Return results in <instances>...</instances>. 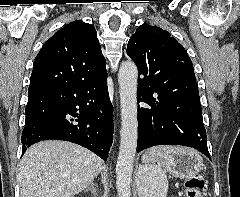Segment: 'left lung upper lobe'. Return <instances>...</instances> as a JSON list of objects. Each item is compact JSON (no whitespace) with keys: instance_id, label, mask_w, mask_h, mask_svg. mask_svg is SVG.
Instances as JSON below:
<instances>
[{"instance_id":"obj_1","label":"left lung upper lobe","mask_w":240,"mask_h":197,"mask_svg":"<svg viewBox=\"0 0 240 197\" xmlns=\"http://www.w3.org/2000/svg\"><path fill=\"white\" fill-rule=\"evenodd\" d=\"M127 54L139 72L151 77L155 88L197 86L194 68L184 47L160 27L140 25L128 42Z\"/></svg>"}]
</instances>
